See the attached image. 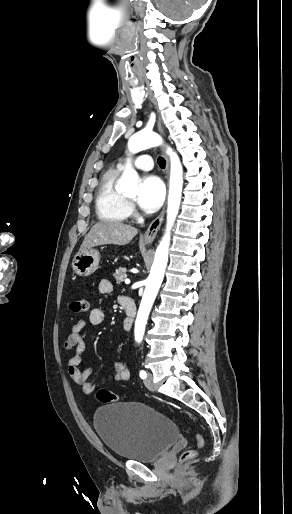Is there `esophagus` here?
<instances>
[{"label": "esophagus", "instance_id": "esophagus-1", "mask_svg": "<svg viewBox=\"0 0 292 514\" xmlns=\"http://www.w3.org/2000/svg\"><path fill=\"white\" fill-rule=\"evenodd\" d=\"M158 129H159L160 133L163 135V129H162L160 121L158 122ZM166 171H167V173L169 171L168 158L166 159ZM164 213H165V206L163 207L162 212L151 222V224L147 228V230L141 240H143L144 242H152L155 239V237L161 227Z\"/></svg>", "mask_w": 292, "mask_h": 514}]
</instances>
